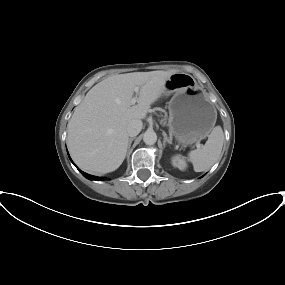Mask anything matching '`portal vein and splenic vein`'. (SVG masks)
I'll return each instance as SVG.
<instances>
[{"label": "portal vein and splenic vein", "instance_id": "1", "mask_svg": "<svg viewBox=\"0 0 285 285\" xmlns=\"http://www.w3.org/2000/svg\"><path fill=\"white\" fill-rule=\"evenodd\" d=\"M134 92L136 93V96H134L131 99V101H130L131 105H134L137 102V94L139 93V87L138 86L134 87ZM198 147H200V145H198Z\"/></svg>", "mask_w": 285, "mask_h": 285}]
</instances>
